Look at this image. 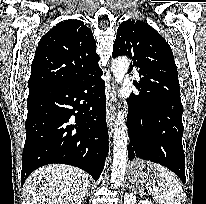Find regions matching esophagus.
I'll use <instances>...</instances> for the list:
<instances>
[{"mask_svg": "<svg viewBox=\"0 0 206 204\" xmlns=\"http://www.w3.org/2000/svg\"><path fill=\"white\" fill-rule=\"evenodd\" d=\"M116 86L114 83H112L111 91H110V98L108 102V108H107V123L110 129V132L113 131V125L116 115Z\"/></svg>", "mask_w": 206, "mask_h": 204, "instance_id": "1", "label": "esophagus"}]
</instances>
